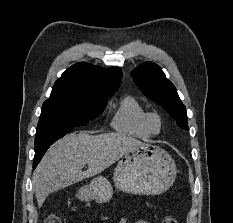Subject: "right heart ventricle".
<instances>
[{
    "label": "right heart ventricle",
    "instance_id": "right-heart-ventricle-1",
    "mask_svg": "<svg viewBox=\"0 0 233 223\" xmlns=\"http://www.w3.org/2000/svg\"><path fill=\"white\" fill-rule=\"evenodd\" d=\"M146 114L145 107L136 97L126 95L113 110L109 125L119 133L147 140L151 137V134L145 127Z\"/></svg>",
    "mask_w": 233,
    "mask_h": 223
}]
</instances>
